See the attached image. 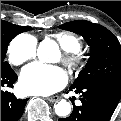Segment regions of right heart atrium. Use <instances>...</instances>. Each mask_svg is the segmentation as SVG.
Here are the masks:
<instances>
[{"mask_svg": "<svg viewBox=\"0 0 121 121\" xmlns=\"http://www.w3.org/2000/svg\"><path fill=\"white\" fill-rule=\"evenodd\" d=\"M37 41L29 35L16 36L8 46V58L12 65L20 66L36 54Z\"/></svg>", "mask_w": 121, "mask_h": 121, "instance_id": "d8ad5b80", "label": "right heart atrium"}]
</instances>
